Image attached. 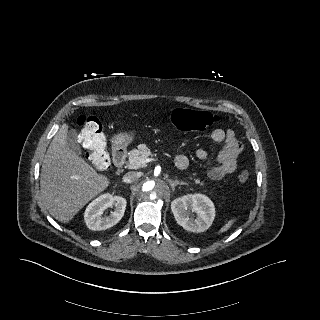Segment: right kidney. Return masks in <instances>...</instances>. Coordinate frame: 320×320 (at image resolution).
<instances>
[{"label":"right kidney","instance_id":"1","mask_svg":"<svg viewBox=\"0 0 320 320\" xmlns=\"http://www.w3.org/2000/svg\"><path fill=\"white\" fill-rule=\"evenodd\" d=\"M109 207H114V211L111 212L110 215H103V212ZM125 209V198L113 196L109 193L102 194L87 206L84 213V220L87 227L91 230H106L121 220Z\"/></svg>","mask_w":320,"mask_h":320}]
</instances>
